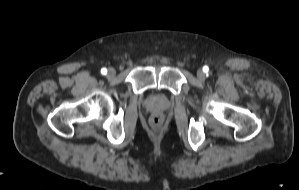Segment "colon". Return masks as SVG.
<instances>
[{
  "label": "colon",
  "instance_id": "obj_1",
  "mask_svg": "<svg viewBox=\"0 0 299 190\" xmlns=\"http://www.w3.org/2000/svg\"><path fill=\"white\" fill-rule=\"evenodd\" d=\"M161 123V117L160 116H158V115H156V116H154L153 118H152V124L153 125H159Z\"/></svg>",
  "mask_w": 299,
  "mask_h": 190
}]
</instances>
